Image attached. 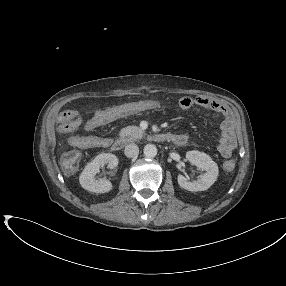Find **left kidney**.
<instances>
[{"mask_svg":"<svg viewBox=\"0 0 286 286\" xmlns=\"http://www.w3.org/2000/svg\"><path fill=\"white\" fill-rule=\"evenodd\" d=\"M186 159L202 171H205L197 180L188 181L183 175H178V184L188 191H204L210 188L218 177V165L211 157L200 151H188Z\"/></svg>","mask_w":286,"mask_h":286,"instance_id":"left-kidney-1","label":"left kidney"}]
</instances>
